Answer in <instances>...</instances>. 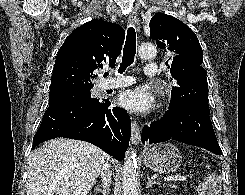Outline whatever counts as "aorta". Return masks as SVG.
Masks as SVG:
<instances>
[{
  "instance_id": "762f6f07",
  "label": "aorta",
  "mask_w": 245,
  "mask_h": 195,
  "mask_svg": "<svg viewBox=\"0 0 245 195\" xmlns=\"http://www.w3.org/2000/svg\"><path fill=\"white\" fill-rule=\"evenodd\" d=\"M141 58H153L156 55V47L152 44H143L138 49ZM138 166L136 153L131 149L125 157L122 174V194L138 195Z\"/></svg>"
}]
</instances>
